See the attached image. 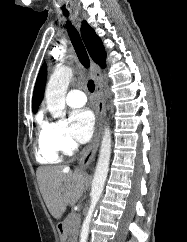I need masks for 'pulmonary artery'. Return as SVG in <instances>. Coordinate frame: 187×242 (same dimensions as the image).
I'll use <instances>...</instances> for the list:
<instances>
[{
	"mask_svg": "<svg viewBox=\"0 0 187 242\" xmlns=\"http://www.w3.org/2000/svg\"><path fill=\"white\" fill-rule=\"evenodd\" d=\"M66 102L71 107H81L85 104L86 97L81 90H70L67 93Z\"/></svg>",
	"mask_w": 187,
	"mask_h": 242,
	"instance_id": "1",
	"label": "pulmonary artery"
}]
</instances>
